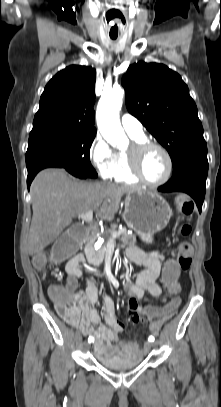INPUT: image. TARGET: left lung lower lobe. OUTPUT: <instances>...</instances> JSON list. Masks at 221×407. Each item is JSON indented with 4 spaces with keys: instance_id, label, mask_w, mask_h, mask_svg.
Segmentation results:
<instances>
[{
    "instance_id": "left-lung-lower-lobe-1",
    "label": "left lung lower lobe",
    "mask_w": 221,
    "mask_h": 407,
    "mask_svg": "<svg viewBox=\"0 0 221 407\" xmlns=\"http://www.w3.org/2000/svg\"><path fill=\"white\" fill-rule=\"evenodd\" d=\"M208 173L207 153L192 155L173 169L172 178L158 188L160 192H185L196 202L199 212L205 196Z\"/></svg>"
}]
</instances>
